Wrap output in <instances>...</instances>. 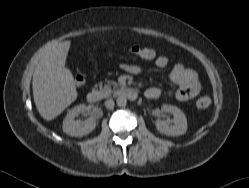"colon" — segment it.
<instances>
[{"label":"colon","mask_w":249,"mask_h":188,"mask_svg":"<svg viewBox=\"0 0 249 188\" xmlns=\"http://www.w3.org/2000/svg\"><path fill=\"white\" fill-rule=\"evenodd\" d=\"M131 53L142 59H151L155 55V50L151 47L140 48L138 46L131 48ZM81 79H77V83L81 84ZM211 104V100L207 96H201L196 101V107L200 110L207 109Z\"/></svg>","instance_id":"obj_1"}]
</instances>
